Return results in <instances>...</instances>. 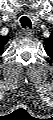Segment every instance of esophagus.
I'll list each match as a JSON object with an SVG mask.
<instances>
[{
	"label": "esophagus",
	"instance_id": "obj_1",
	"mask_svg": "<svg viewBox=\"0 0 53 120\" xmlns=\"http://www.w3.org/2000/svg\"><path fill=\"white\" fill-rule=\"evenodd\" d=\"M20 34L24 38H31V37H33V32L29 28L23 29Z\"/></svg>",
	"mask_w": 53,
	"mask_h": 120
}]
</instances>
